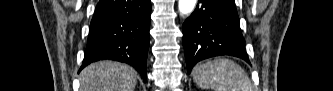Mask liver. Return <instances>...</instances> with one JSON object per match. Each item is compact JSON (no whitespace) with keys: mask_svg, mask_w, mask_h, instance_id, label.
Returning <instances> with one entry per match:
<instances>
[{"mask_svg":"<svg viewBox=\"0 0 333 91\" xmlns=\"http://www.w3.org/2000/svg\"><path fill=\"white\" fill-rule=\"evenodd\" d=\"M80 84V91H134L136 72L125 64L99 61L82 70Z\"/></svg>","mask_w":333,"mask_h":91,"instance_id":"obj_1","label":"liver"}]
</instances>
